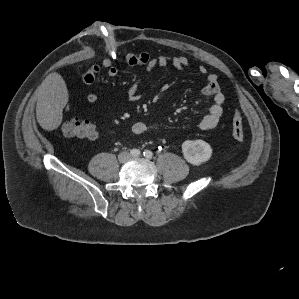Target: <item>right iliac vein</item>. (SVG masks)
I'll list each match as a JSON object with an SVG mask.
<instances>
[{"instance_id": "obj_1", "label": "right iliac vein", "mask_w": 299, "mask_h": 299, "mask_svg": "<svg viewBox=\"0 0 299 299\" xmlns=\"http://www.w3.org/2000/svg\"><path fill=\"white\" fill-rule=\"evenodd\" d=\"M129 158H130V155H129V153H127V152H122V153L119 155V161H120V162H125V161H127Z\"/></svg>"}]
</instances>
